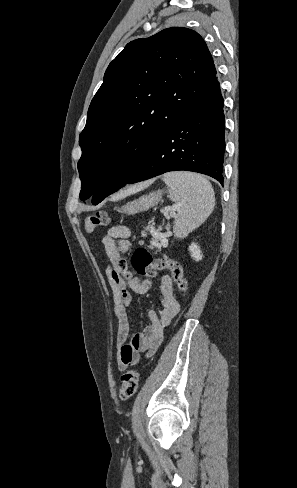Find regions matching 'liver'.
I'll return each mask as SVG.
<instances>
[{"instance_id":"1","label":"liver","mask_w":297,"mask_h":488,"mask_svg":"<svg viewBox=\"0 0 297 488\" xmlns=\"http://www.w3.org/2000/svg\"><path fill=\"white\" fill-rule=\"evenodd\" d=\"M149 184H150V182L141 183V184H139V185H137V186H135V187L130 188L129 190H127V191H126V193H128V192H133V191H137V190H139V189H143V188H145L146 186H148Z\"/></svg>"}]
</instances>
